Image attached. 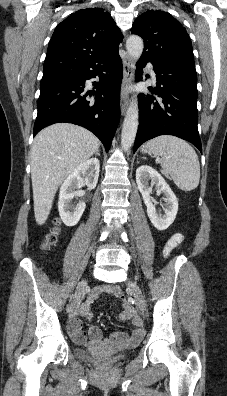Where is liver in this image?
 Wrapping results in <instances>:
<instances>
[{"label":"liver","instance_id":"1","mask_svg":"<svg viewBox=\"0 0 227 396\" xmlns=\"http://www.w3.org/2000/svg\"><path fill=\"white\" fill-rule=\"evenodd\" d=\"M99 146L94 134L69 123L53 124L36 135L31 148V180L38 225L46 222L60 184Z\"/></svg>","mask_w":227,"mask_h":396}]
</instances>
